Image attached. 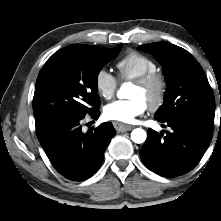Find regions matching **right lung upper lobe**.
Segmentation results:
<instances>
[{"label":"right lung upper lobe","mask_w":221,"mask_h":221,"mask_svg":"<svg viewBox=\"0 0 221 221\" xmlns=\"http://www.w3.org/2000/svg\"><path fill=\"white\" fill-rule=\"evenodd\" d=\"M74 45H77V46H91V45H83V44H74Z\"/></svg>","instance_id":"cb5924a9"}]
</instances>
